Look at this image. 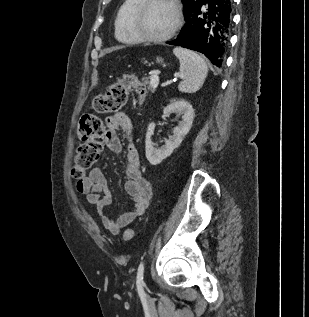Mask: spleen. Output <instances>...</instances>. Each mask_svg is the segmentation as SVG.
Here are the masks:
<instances>
[{
	"mask_svg": "<svg viewBox=\"0 0 309 317\" xmlns=\"http://www.w3.org/2000/svg\"><path fill=\"white\" fill-rule=\"evenodd\" d=\"M173 53L180 62L179 75L182 81L178 85L179 91L183 93L198 91L208 73L206 62L197 53L182 47L174 48Z\"/></svg>",
	"mask_w": 309,
	"mask_h": 317,
	"instance_id": "3e777b00",
	"label": "spleen"
}]
</instances>
